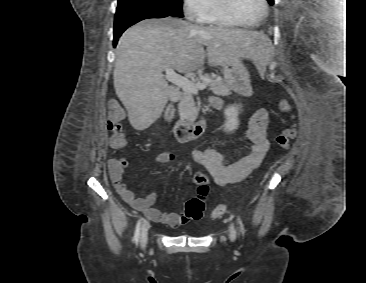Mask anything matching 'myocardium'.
Here are the masks:
<instances>
[{"mask_svg": "<svg viewBox=\"0 0 366 283\" xmlns=\"http://www.w3.org/2000/svg\"><path fill=\"white\" fill-rule=\"evenodd\" d=\"M219 6L223 13L235 24L242 27H255L259 25L267 16L268 13V3L267 0H261L263 5L262 15L253 23L244 22L237 14L235 7V0H218Z\"/></svg>", "mask_w": 366, "mask_h": 283, "instance_id": "obj_1", "label": "myocardium"}]
</instances>
